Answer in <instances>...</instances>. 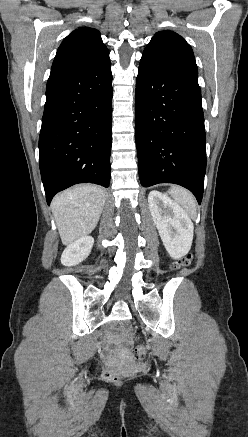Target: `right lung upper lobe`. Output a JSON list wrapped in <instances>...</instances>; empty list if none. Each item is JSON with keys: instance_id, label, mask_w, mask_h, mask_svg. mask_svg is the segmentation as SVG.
Listing matches in <instances>:
<instances>
[{"instance_id": "1", "label": "right lung upper lobe", "mask_w": 248, "mask_h": 437, "mask_svg": "<svg viewBox=\"0 0 248 437\" xmlns=\"http://www.w3.org/2000/svg\"><path fill=\"white\" fill-rule=\"evenodd\" d=\"M109 61V51L99 31L80 27L69 34L59 46L51 71L87 70Z\"/></svg>"}]
</instances>
